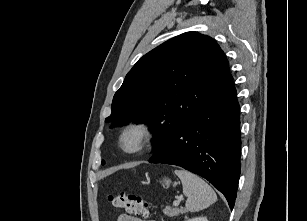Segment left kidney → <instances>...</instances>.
Segmentation results:
<instances>
[{
	"label": "left kidney",
	"mask_w": 307,
	"mask_h": 221,
	"mask_svg": "<svg viewBox=\"0 0 307 221\" xmlns=\"http://www.w3.org/2000/svg\"><path fill=\"white\" fill-rule=\"evenodd\" d=\"M187 221H208L206 217H196L192 219H188Z\"/></svg>",
	"instance_id": "1"
}]
</instances>
